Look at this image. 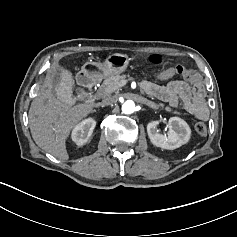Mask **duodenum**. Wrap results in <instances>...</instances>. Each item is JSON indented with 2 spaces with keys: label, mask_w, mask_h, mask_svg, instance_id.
<instances>
[{
  "label": "duodenum",
  "mask_w": 237,
  "mask_h": 237,
  "mask_svg": "<svg viewBox=\"0 0 237 237\" xmlns=\"http://www.w3.org/2000/svg\"><path fill=\"white\" fill-rule=\"evenodd\" d=\"M100 77V70L94 65H88L79 74L78 81L83 87L91 88L100 80Z\"/></svg>",
  "instance_id": "duodenum-1"
}]
</instances>
